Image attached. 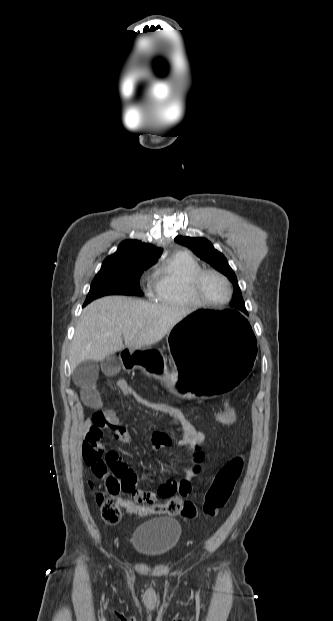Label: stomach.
<instances>
[{
    "instance_id": "stomach-1",
    "label": "stomach",
    "mask_w": 333,
    "mask_h": 621,
    "mask_svg": "<svg viewBox=\"0 0 333 621\" xmlns=\"http://www.w3.org/2000/svg\"><path fill=\"white\" fill-rule=\"evenodd\" d=\"M167 341L175 351V377L162 380V391L209 399L228 400L241 389L256 361V342L243 315L230 310H198L182 314L168 333ZM146 348H127L126 365L143 368L156 378L164 376L169 358L162 344Z\"/></svg>"
}]
</instances>
